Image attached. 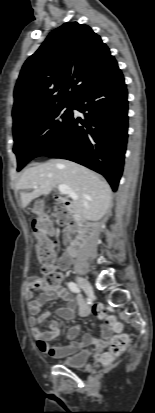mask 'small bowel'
I'll return each mask as SVG.
<instances>
[{
    "instance_id": "c3829d8e",
    "label": "small bowel",
    "mask_w": 155,
    "mask_h": 413,
    "mask_svg": "<svg viewBox=\"0 0 155 413\" xmlns=\"http://www.w3.org/2000/svg\"><path fill=\"white\" fill-rule=\"evenodd\" d=\"M61 280L63 278L60 274ZM35 290H41L38 296H34ZM25 297L29 300L28 310L31 314L29 318V325L31 327L32 335L36 341L37 348L44 354L54 359H61L69 357L88 345L105 346L108 343L110 336V327L107 324L101 326L102 337L95 338L92 336H84L79 342L72 341L78 335V328L71 327L68 331V338L72 341L69 345L64 347H54L50 342L57 339L61 334L60 324L57 320L52 319L49 329H41L43 321L50 317L48 312H42L43 305L54 299L59 298L65 306L57 309L58 315L67 322L73 320L78 314L81 317L90 315V305L87 304L82 297H78L77 303L73 299L70 292L61 284L51 288L48 287L41 278H33L28 281L25 289Z\"/></svg>"
}]
</instances>
